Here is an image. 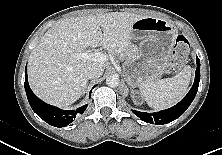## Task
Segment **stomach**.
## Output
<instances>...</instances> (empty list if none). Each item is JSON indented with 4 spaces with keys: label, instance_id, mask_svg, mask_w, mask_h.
Returning a JSON list of instances; mask_svg holds the SVG:
<instances>
[{
    "label": "stomach",
    "instance_id": "0dacf381",
    "mask_svg": "<svg viewBox=\"0 0 222 155\" xmlns=\"http://www.w3.org/2000/svg\"><path fill=\"white\" fill-rule=\"evenodd\" d=\"M178 36L177 28L162 18L143 17L132 25L131 38L140 40L124 64L127 84L137 87L162 76Z\"/></svg>",
    "mask_w": 222,
    "mask_h": 155
}]
</instances>
